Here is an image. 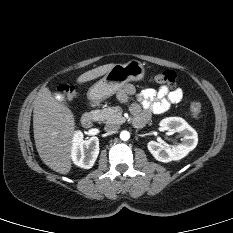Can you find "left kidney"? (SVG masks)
I'll use <instances>...</instances> for the list:
<instances>
[{
  "mask_svg": "<svg viewBox=\"0 0 233 233\" xmlns=\"http://www.w3.org/2000/svg\"><path fill=\"white\" fill-rule=\"evenodd\" d=\"M160 126L163 131L178 132L182 137V143L166 147L156 141H150L147 148L156 160L164 163L180 160L197 146L198 134L184 119L180 117L165 118L160 122Z\"/></svg>",
  "mask_w": 233,
  "mask_h": 233,
  "instance_id": "left-kidney-1",
  "label": "left kidney"
}]
</instances>
